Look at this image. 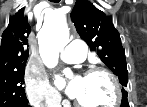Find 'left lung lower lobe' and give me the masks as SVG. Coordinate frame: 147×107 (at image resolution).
Wrapping results in <instances>:
<instances>
[{
	"label": "left lung lower lobe",
	"mask_w": 147,
	"mask_h": 107,
	"mask_svg": "<svg viewBox=\"0 0 147 107\" xmlns=\"http://www.w3.org/2000/svg\"><path fill=\"white\" fill-rule=\"evenodd\" d=\"M128 106H129V104H128L127 99L126 98L122 99V105H121V107H128Z\"/></svg>",
	"instance_id": "0a47b994"
}]
</instances>
